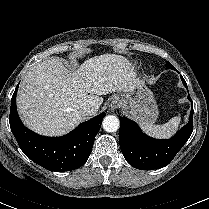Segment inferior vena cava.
<instances>
[{
    "mask_svg": "<svg viewBox=\"0 0 209 209\" xmlns=\"http://www.w3.org/2000/svg\"><path fill=\"white\" fill-rule=\"evenodd\" d=\"M96 112H97V108H96V107L87 106V107L85 108V113H86V115H88V116H92V115H94Z\"/></svg>",
    "mask_w": 209,
    "mask_h": 209,
    "instance_id": "obj_1",
    "label": "inferior vena cava"
}]
</instances>
